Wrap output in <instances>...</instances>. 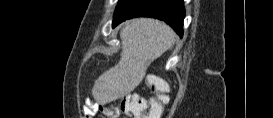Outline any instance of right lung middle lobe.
<instances>
[{"label":"right lung middle lobe","mask_w":273,"mask_h":118,"mask_svg":"<svg viewBox=\"0 0 273 118\" xmlns=\"http://www.w3.org/2000/svg\"><path fill=\"white\" fill-rule=\"evenodd\" d=\"M123 1H124V0H120L119 3H118V5L121 4ZM118 5H117V6H118Z\"/></svg>","instance_id":"obj_1"}]
</instances>
